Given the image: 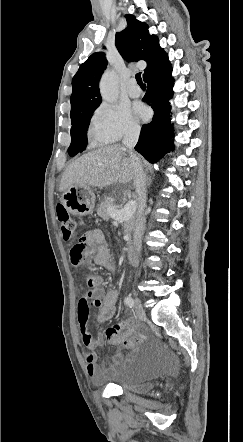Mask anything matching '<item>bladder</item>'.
I'll list each match as a JSON object with an SVG mask.
<instances>
[{"mask_svg": "<svg viewBox=\"0 0 243 442\" xmlns=\"http://www.w3.org/2000/svg\"><path fill=\"white\" fill-rule=\"evenodd\" d=\"M155 366L151 358L133 353L122 360L109 383L136 394H147L155 388Z\"/></svg>", "mask_w": 243, "mask_h": 442, "instance_id": "obj_1", "label": "bladder"}]
</instances>
